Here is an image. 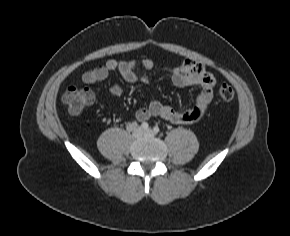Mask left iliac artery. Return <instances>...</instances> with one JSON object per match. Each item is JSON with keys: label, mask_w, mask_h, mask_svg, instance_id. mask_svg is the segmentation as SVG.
<instances>
[{"label": "left iliac artery", "mask_w": 290, "mask_h": 236, "mask_svg": "<svg viewBox=\"0 0 290 236\" xmlns=\"http://www.w3.org/2000/svg\"><path fill=\"white\" fill-rule=\"evenodd\" d=\"M153 131H154V133H158V132L160 131V129H159L158 126H155V127L153 128Z\"/></svg>", "instance_id": "left-iliac-artery-1"}]
</instances>
